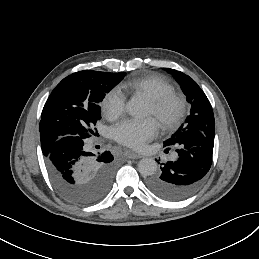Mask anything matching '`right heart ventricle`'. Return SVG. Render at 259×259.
<instances>
[{
  "instance_id": "e07e8e85",
  "label": "right heart ventricle",
  "mask_w": 259,
  "mask_h": 259,
  "mask_svg": "<svg viewBox=\"0 0 259 259\" xmlns=\"http://www.w3.org/2000/svg\"><path fill=\"white\" fill-rule=\"evenodd\" d=\"M116 90L124 98L137 93H144L151 100L173 93L174 87L161 77L132 76L122 81L116 87Z\"/></svg>"
}]
</instances>
